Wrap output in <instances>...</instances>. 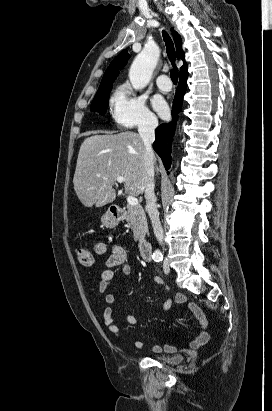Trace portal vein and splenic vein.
I'll list each match as a JSON object with an SVG mask.
<instances>
[{"label":"portal vein and splenic vein","mask_w":272,"mask_h":411,"mask_svg":"<svg viewBox=\"0 0 272 411\" xmlns=\"http://www.w3.org/2000/svg\"><path fill=\"white\" fill-rule=\"evenodd\" d=\"M103 179H106V177H103ZM116 180L119 183H124L125 182V178L123 176H117ZM127 202L131 206H138V204H139L138 199L135 196H132V195L127 196Z\"/></svg>","instance_id":"obj_1"}]
</instances>
